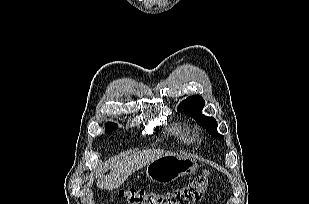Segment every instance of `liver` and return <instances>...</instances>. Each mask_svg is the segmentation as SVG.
Masks as SVG:
<instances>
[{
	"mask_svg": "<svg viewBox=\"0 0 309 204\" xmlns=\"http://www.w3.org/2000/svg\"><path fill=\"white\" fill-rule=\"evenodd\" d=\"M173 153L163 150H144L142 152L135 153L133 155L123 158L121 161H117L112 166V171L109 175H100L97 181V185L100 188L107 190L117 189L128 179V177L136 170L148 165L150 162ZM93 178L88 182V186H92Z\"/></svg>",
	"mask_w": 309,
	"mask_h": 204,
	"instance_id": "1",
	"label": "liver"
}]
</instances>
